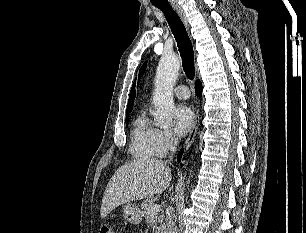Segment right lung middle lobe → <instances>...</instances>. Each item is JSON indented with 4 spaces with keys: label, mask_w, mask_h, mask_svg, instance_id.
<instances>
[{
    "label": "right lung middle lobe",
    "mask_w": 306,
    "mask_h": 233,
    "mask_svg": "<svg viewBox=\"0 0 306 233\" xmlns=\"http://www.w3.org/2000/svg\"><path fill=\"white\" fill-rule=\"evenodd\" d=\"M129 114L126 115V126L128 125Z\"/></svg>",
    "instance_id": "1"
}]
</instances>
